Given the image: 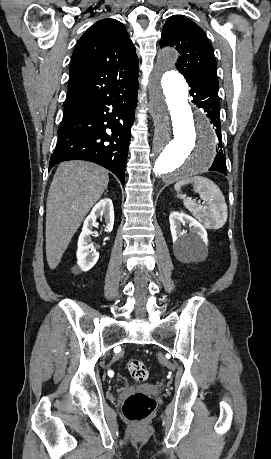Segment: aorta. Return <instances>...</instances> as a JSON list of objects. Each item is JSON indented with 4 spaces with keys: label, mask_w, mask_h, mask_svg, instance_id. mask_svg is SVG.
I'll use <instances>...</instances> for the list:
<instances>
[{
    "label": "aorta",
    "mask_w": 271,
    "mask_h": 459,
    "mask_svg": "<svg viewBox=\"0 0 271 459\" xmlns=\"http://www.w3.org/2000/svg\"><path fill=\"white\" fill-rule=\"evenodd\" d=\"M178 53L167 48L151 75L150 107L155 123L152 171L156 177L173 182L206 171L216 155L213 126L189 104L188 85L174 70Z\"/></svg>",
    "instance_id": "762f6f07"
}]
</instances>
